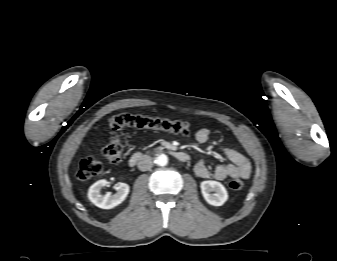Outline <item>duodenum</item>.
<instances>
[{"label": "duodenum", "instance_id": "duodenum-1", "mask_svg": "<svg viewBox=\"0 0 337 261\" xmlns=\"http://www.w3.org/2000/svg\"><path fill=\"white\" fill-rule=\"evenodd\" d=\"M171 155H173L177 160L181 162H188L190 157L186 152L177 150V149H168L167 150ZM143 158V154L140 152L134 153L129 159V165L135 167Z\"/></svg>", "mask_w": 337, "mask_h": 261}]
</instances>
